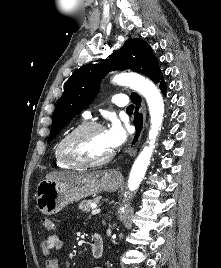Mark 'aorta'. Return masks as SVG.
<instances>
[{
    "instance_id": "obj_1",
    "label": "aorta",
    "mask_w": 221,
    "mask_h": 268,
    "mask_svg": "<svg viewBox=\"0 0 221 268\" xmlns=\"http://www.w3.org/2000/svg\"><path fill=\"white\" fill-rule=\"evenodd\" d=\"M112 82L117 85L128 86L142 94L147 101L150 112L151 128L149 131V145L144 147L136 158L128 179V190L133 192L138 189L150 163L156 137L162 126L164 102L157 87L150 80L141 75L121 73L115 75Z\"/></svg>"
}]
</instances>
